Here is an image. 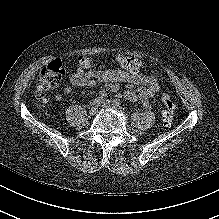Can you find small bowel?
<instances>
[{
	"label": "small bowel",
	"instance_id": "small-bowel-1",
	"mask_svg": "<svg viewBox=\"0 0 219 219\" xmlns=\"http://www.w3.org/2000/svg\"><path fill=\"white\" fill-rule=\"evenodd\" d=\"M84 60H79V68L69 76L62 94L56 96L61 100L63 95H68L76 87H94L97 83L105 84L102 93H117L122 84L126 85L122 96L131 101H140L146 109L154 105V96L159 91L160 85L157 77L153 74L140 72L141 62L124 55L117 56L116 60L122 69L119 70H89L90 66L84 65Z\"/></svg>",
	"mask_w": 219,
	"mask_h": 219
}]
</instances>
